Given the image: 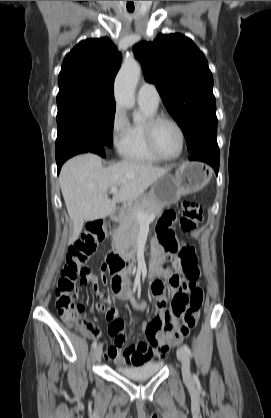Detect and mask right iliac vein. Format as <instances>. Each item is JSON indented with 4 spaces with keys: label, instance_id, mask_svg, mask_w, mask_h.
<instances>
[{
    "label": "right iliac vein",
    "instance_id": "1",
    "mask_svg": "<svg viewBox=\"0 0 271 418\" xmlns=\"http://www.w3.org/2000/svg\"><path fill=\"white\" fill-rule=\"evenodd\" d=\"M102 355V346L99 345L94 349V358L96 360H99L101 358Z\"/></svg>",
    "mask_w": 271,
    "mask_h": 418
}]
</instances>
